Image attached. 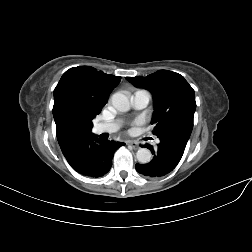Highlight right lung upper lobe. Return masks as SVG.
<instances>
[{"instance_id": "1", "label": "right lung upper lobe", "mask_w": 252, "mask_h": 252, "mask_svg": "<svg viewBox=\"0 0 252 252\" xmlns=\"http://www.w3.org/2000/svg\"><path fill=\"white\" fill-rule=\"evenodd\" d=\"M121 77L90 66L67 70L54 89L53 117L62 152L91 133L92 120L101 112Z\"/></svg>"}]
</instances>
